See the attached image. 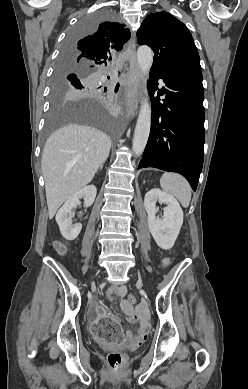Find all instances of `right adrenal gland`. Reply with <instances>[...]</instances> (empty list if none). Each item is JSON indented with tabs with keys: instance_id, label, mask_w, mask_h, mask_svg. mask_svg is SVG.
Returning a JSON list of instances; mask_svg holds the SVG:
<instances>
[{
	"instance_id": "1",
	"label": "right adrenal gland",
	"mask_w": 248,
	"mask_h": 389,
	"mask_svg": "<svg viewBox=\"0 0 248 389\" xmlns=\"http://www.w3.org/2000/svg\"><path fill=\"white\" fill-rule=\"evenodd\" d=\"M103 166H104V162L100 165L99 170H102Z\"/></svg>"
}]
</instances>
